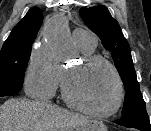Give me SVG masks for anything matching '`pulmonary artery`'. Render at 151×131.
Segmentation results:
<instances>
[{"instance_id": "e3ab8cb5", "label": "pulmonary artery", "mask_w": 151, "mask_h": 131, "mask_svg": "<svg viewBox=\"0 0 151 131\" xmlns=\"http://www.w3.org/2000/svg\"><path fill=\"white\" fill-rule=\"evenodd\" d=\"M73 38L77 44L87 48H95L97 43L96 36L91 31L85 29H75L73 31Z\"/></svg>"}]
</instances>
